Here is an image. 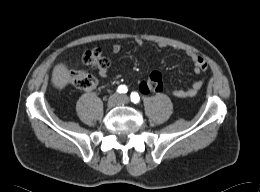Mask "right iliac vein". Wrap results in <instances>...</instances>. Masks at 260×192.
<instances>
[{
  "label": "right iliac vein",
  "instance_id": "right-iliac-vein-1",
  "mask_svg": "<svg viewBox=\"0 0 260 192\" xmlns=\"http://www.w3.org/2000/svg\"><path fill=\"white\" fill-rule=\"evenodd\" d=\"M120 103V96L118 94H115L113 96H111L107 102V106L109 108L115 107L116 105H118Z\"/></svg>",
  "mask_w": 260,
  "mask_h": 192
}]
</instances>
